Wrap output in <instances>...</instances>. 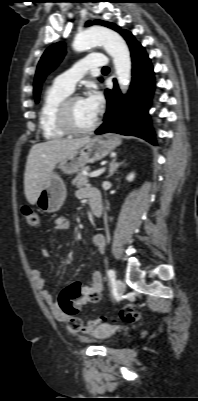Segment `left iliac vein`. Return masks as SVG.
<instances>
[{
	"label": "left iliac vein",
	"mask_w": 198,
	"mask_h": 401,
	"mask_svg": "<svg viewBox=\"0 0 198 401\" xmlns=\"http://www.w3.org/2000/svg\"><path fill=\"white\" fill-rule=\"evenodd\" d=\"M124 290H125L124 283L120 279H117L116 280V291H117L118 295L119 296L123 295Z\"/></svg>",
	"instance_id": "1"
}]
</instances>
